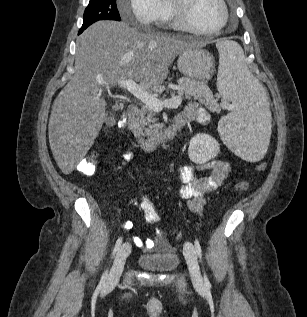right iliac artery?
<instances>
[{"label": "right iliac artery", "mask_w": 307, "mask_h": 317, "mask_svg": "<svg viewBox=\"0 0 307 317\" xmlns=\"http://www.w3.org/2000/svg\"><path fill=\"white\" fill-rule=\"evenodd\" d=\"M121 244H122V237L118 238V240L116 241V244H115V246H114V250H113V253H112L113 256H115V254H116V252L118 251V249L120 248ZM107 275H108V270H106V271L104 272V274L102 275L101 280H100V283H101V284H103V283L106 282V280H107Z\"/></svg>", "instance_id": "1"}]
</instances>
